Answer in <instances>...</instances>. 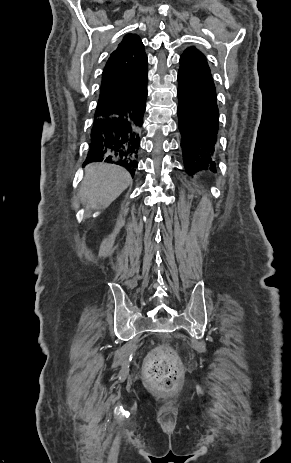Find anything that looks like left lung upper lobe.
<instances>
[{
  "label": "left lung upper lobe",
  "instance_id": "obj_1",
  "mask_svg": "<svg viewBox=\"0 0 291 463\" xmlns=\"http://www.w3.org/2000/svg\"><path fill=\"white\" fill-rule=\"evenodd\" d=\"M180 69L212 79L211 71L204 54L194 47L187 48L181 55Z\"/></svg>",
  "mask_w": 291,
  "mask_h": 463
}]
</instances>
